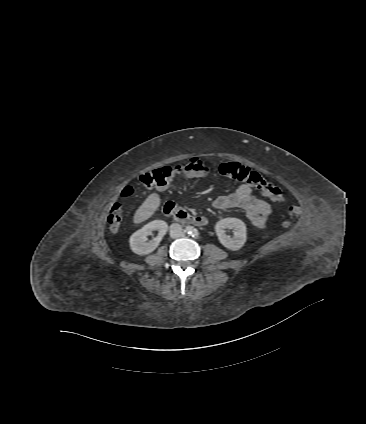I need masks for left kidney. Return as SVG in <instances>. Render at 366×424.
Returning <instances> with one entry per match:
<instances>
[{
  "label": "left kidney",
  "instance_id": "left-kidney-1",
  "mask_svg": "<svg viewBox=\"0 0 366 424\" xmlns=\"http://www.w3.org/2000/svg\"><path fill=\"white\" fill-rule=\"evenodd\" d=\"M233 229L234 236L226 235L225 229ZM215 232L220 243L233 251L239 250L247 240L245 223L238 218H224L215 225Z\"/></svg>",
  "mask_w": 366,
  "mask_h": 424
}]
</instances>
